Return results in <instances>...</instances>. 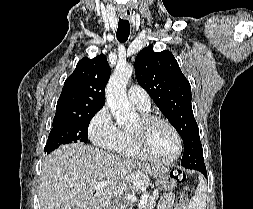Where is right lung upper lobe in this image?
<instances>
[{
    "mask_svg": "<svg viewBox=\"0 0 253 209\" xmlns=\"http://www.w3.org/2000/svg\"><path fill=\"white\" fill-rule=\"evenodd\" d=\"M110 74L104 54L93 59L82 58L64 83L54 119L100 110L105 104V87Z\"/></svg>",
    "mask_w": 253,
    "mask_h": 209,
    "instance_id": "right-lung-upper-lobe-1",
    "label": "right lung upper lobe"
}]
</instances>
